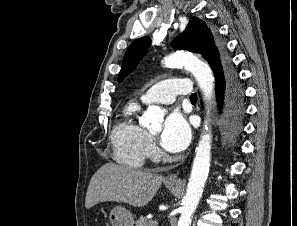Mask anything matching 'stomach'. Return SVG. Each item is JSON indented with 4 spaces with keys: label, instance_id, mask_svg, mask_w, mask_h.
<instances>
[{
    "label": "stomach",
    "instance_id": "0dacf381",
    "mask_svg": "<svg viewBox=\"0 0 297 226\" xmlns=\"http://www.w3.org/2000/svg\"><path fill=\"white\" fill-rule=\"evenodd\" d=\"M170 185H173L172 183ZM109 220L112 226H133V215L122 206H116L110 212Z\"/></svg>",
    "mask_w": 297,
    "mask_h": 226
}]
</instances>
